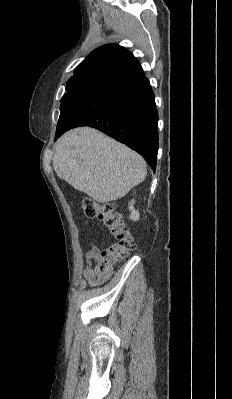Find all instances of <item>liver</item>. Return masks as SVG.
I'll return each instance as SVG.
<instances>
[{
  "mask_svg": "<svg viewBox=\"0 0 232 399\" xmlns=\"http://www.w3.org/2000/svg\"><path fill=\"white\" fill-rule=\"evenodd\" d=\"M53 168L60 180L101 203L123 198L147 174L142 156L92 128L59 138Z\"/></svg>",
  "mask_w": 232,
  "mask_h": 399,
  "instance_id": "liver-1",
  "label": "liver"
}]
</instances>
